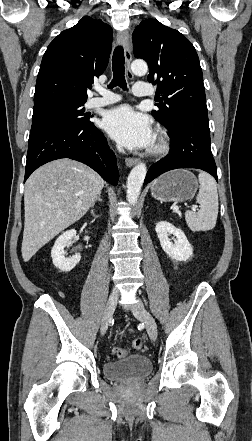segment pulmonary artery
Listing matches in <instances>:
<instances>
[{"label": "pulmonary artery", "instance_id": "1", "mask_svg": "<svg viewBox=\"0 0 252 441\" xmlns=\"http://www.w3.org/2000/svg\"><path fill=\"white\" fill-rule=\"evenodd\" d=\"M133 94L137 97H146L152 95L153 91L148 84L137 83L133 86ZM100 94L99 97H92L87 101L88 108H98L109 104L116 103L121 100V97L112 92L97 89Z\"/></svg>", "mask_w": 252, "mask_h": 441}]
</instances>
